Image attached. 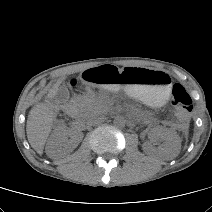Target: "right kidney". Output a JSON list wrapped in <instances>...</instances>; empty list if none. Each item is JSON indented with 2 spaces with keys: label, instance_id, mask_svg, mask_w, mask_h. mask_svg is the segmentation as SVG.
Returning a JSON list of instances; mask_svg holds the SVG:
<instances>
[{
  "label": "right kidney",
  "instance_id": "obj_1",
  "mask_svg": "<svg viewBox=\"0 0 212 212\" xmlns=\"http://www.w3.org/2000/svg\"><path fill=\"white\" fill-rule=\"evenodd\" d=\"M82 138L83 134L80 131L67 129L59 125L47 143L46 154L52 159L60 158L71 153L78 146Z\"/></svg>",
  "mask_w": 212,
  "mask_h": 212
}]
</instances>
